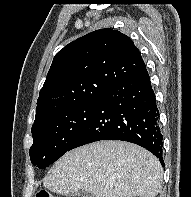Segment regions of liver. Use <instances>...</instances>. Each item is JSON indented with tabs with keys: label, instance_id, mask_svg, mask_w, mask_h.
Listing matches in <instances>:
<instances>
[{
	"label": "liver",
	"instance_id": "6515ba94",
	"mask_svg": "<svg viewBox=\"0 0 191 197\" xmlns=\"http://www.w3.org/2000/svg\"><path fill=\"white\" fill-rule=\"evenodd\" d=\"M163 169L146 149L125 141L103 140L78 147L55 162L44 178L49 191L94 197H155Z\"/></svg>",
	"mask_w": 191,
	"mask_h": 197
}]
</instances>
